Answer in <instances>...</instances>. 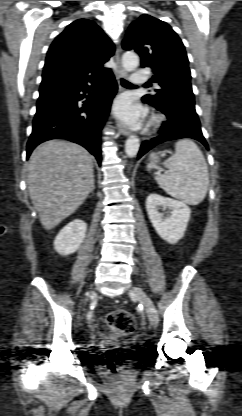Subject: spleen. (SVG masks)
I'll return each instance as SVG.
<instances>
[{
	"label": "spleen",
	"mask_w": 242,
	"mask_h": 416,
	"mask_svg": "<svg viewBox=\"0 0 242 416\" xmlns=\"http://www.w3.org/2000/svg\"><path fill=\"white\" fill-rule=\"evenodd\" d=\"M168 173H157L155 180L167 194L189 205L203 201L209 186L208 167L200 148L189 139L175 143V154L164 162ZM155 164H148L150 171Z\"/></svg>",
	"instance_id": "obj_1"
}]
</instances>
